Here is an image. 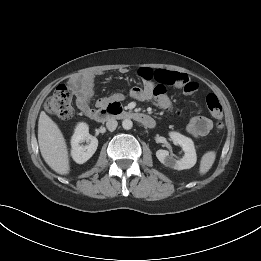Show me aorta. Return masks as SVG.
I'll return each mask as SVG.
<instances>
[{
	"instance_id": "obj_1",
	"label": "aorta",
	"mask_w": 261,
	"mask_h": 261,
	"mask_svg": "<svg viewBox=\"0 0 261 261\" xmlns=\"http://www.w3.org/2000/svg\"><path fill=\"white\" fill-rule=\"evenodd\" d=\"M122 127L125 130H130L133 127V122L130 119H124L122 121Z\"/></svg>"
}]
</instances>
